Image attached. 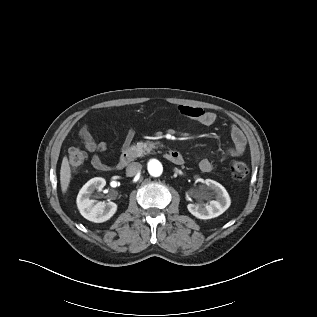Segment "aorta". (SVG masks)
I'll return each mask as SVG.
<instances>
[{
    "label": "aorta",
    "mask_w": 317,
    "mask_h": 317,
    "mask_svg": "<svg viewBox=\"0 0 317 317\" xmlns=\"http://www.w3.org/2000/svg\"><path fill=\"white\" fill-rule=\"evenodd\" d=\"M148 171H149L150 175L158 177L163 172L162 164L158 160L152 159L148 163Z\"/></svg>",
    "instance_id": "obj_1"
}]
</instances>
